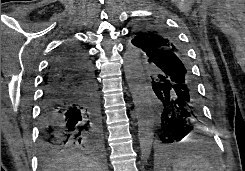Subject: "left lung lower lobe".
Instances as JSON below:
<instances>
[{
	"instance_id": "left-lung-lower-lobe-1",
	"label": "left lung lower lobe",
	"mask_w": 245,
	"mask_h": 171,
	"mask_svg": "<svg viewBox=\"0 0 245 171\" xmlns=\"http://www.w3.org/2000/svg\"><path fill=\"white\" fill-rule=\"evenodd\" d=\"M148 61L160 72L151 78L152 88L160 100L159 143L178 142L190 134L193 125H201L203 118L189 66L183 56L170 51L157 54Z\"/></svg>"
}]
</instances>
